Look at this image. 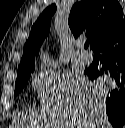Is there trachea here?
Masks as SVG:
<instances>
[{
  "instance_id": "obj_1",
  "label": "trachea",
  "mask_w": 125,
  "mask_h": 128,
  "mask_svg": "<svg viewBox=\"0 0 125 128\" xmlns=\"http://www.w3.org/2000/svg\"><path fill=\"white\" fill-rule=\"evenodd\" d=\"M88 47H89V42H86V43L84 44V48L87 49Z\"/></svg>"
}]
</instances>
